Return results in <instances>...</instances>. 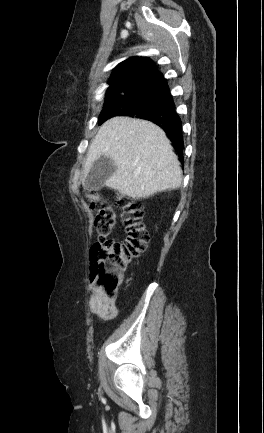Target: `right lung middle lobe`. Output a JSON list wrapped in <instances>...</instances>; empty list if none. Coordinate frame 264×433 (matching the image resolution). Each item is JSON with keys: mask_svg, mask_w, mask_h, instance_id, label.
<instances>
[{"mask_svg": "<svg viewBox=\"0 0 264 433\" xmlns=\"http://www.w3.org/2000/svg\"><path fill=\"white\" fill-rule=\"evenodd\" d=\"M141 88L126 90L114 97H107L104 108L99 116V124L117 115H127L131 110V104L138 100Z\"/></svg>", "mask_w": 264, "mask_h": 433, "instance_id": "dd1d6c3e", "label": "right lung middle lobe"}]
</instances>
